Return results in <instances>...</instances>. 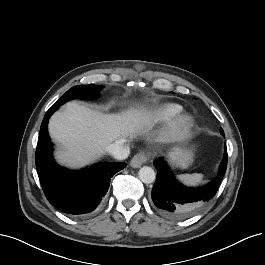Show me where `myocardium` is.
<instances>
[{
    "instance_id": "myocardium-1",
    "label": "myocardium",
    "mask_w": 265,
    "mask_h": 265,
    "mask_svg": "<svg viewBox=\"0 0 265 265\" xmlns=\"http://www.w3.org/2000/svg\"><path fill=\"white\" fill-rule=\"evenodd\" d=\"M194 124L192 115L188 113L178 114L169 124L170 131L174 132L177 138L185 136Z\"/></svg>"
}]
</instances>
